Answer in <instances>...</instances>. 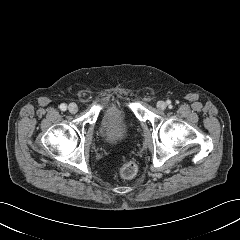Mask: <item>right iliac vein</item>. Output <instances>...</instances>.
I'll return each mask as SVG.
<instances>
[{"mask_svg":"<svg viewBox=\"0 0 240 240\" xmlns=\"http://www.w3.org/2000/svg\"><path fill=\"white\" fill-rule=\"evenodd\" d=\"M68 110L70 113H76L78 111V106L75 103H70Z\"/></svg>","mask_w":240,"mask_h":240,"instance_id":"63e3f726","label":"right iliac vein"}]
</instances>
